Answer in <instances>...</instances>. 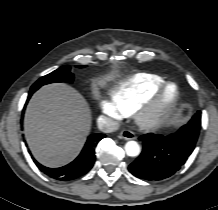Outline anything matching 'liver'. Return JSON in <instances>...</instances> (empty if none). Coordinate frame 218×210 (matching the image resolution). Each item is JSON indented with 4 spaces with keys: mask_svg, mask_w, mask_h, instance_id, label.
<instances>
[{
    "mask_svg": "<svg viewBox=\"0 0 218 210\" xmlns=\"http://www.w3.org/2000/svg\"><path fill=\"white\" fill-rule=\"evenodd\" d=\"M91 112L83 96L64 83L43 86L30 99L24 132L33 156L59 167L81 151L91 129Z\"/></svg>",
    "mask_w": 218,
    "mask_h": 210,
    "instance_id": "6515ba94",
    "label": "liver"
}]
</instances>
